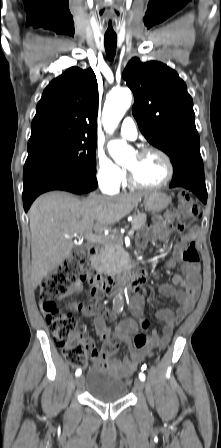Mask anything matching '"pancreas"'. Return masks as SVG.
<instances>
[{"instance_id": "pancreas-1", "label": "pancreas", "mask_w": 221, "mask_h": 448, "mask_svg": "<svg viewBox=\"0 0 221 448\" xmlns=\"http://www.w3.org/2000/svg\"><path fill=\"white\" fill-rule=\"evenodd\" d=\"M145 222V214L135 215L131 221L132 229L134 231L142 229L145 226ZM125 255L123 240L119 235L107 238L98 256L101 269L108 274L120 271L124 265Z\"/></svg>"}]
</instances>
